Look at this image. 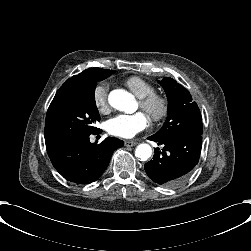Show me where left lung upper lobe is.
<instances>
[{
  "instance_id": "obj_1",
  "label": "left lung upper lobe",
  "mask_w": 251,
  "mask_h": 251,
  "mask_svg": "<svg viewBox=\"0 0 251 251\" xmlns=\"http://www.w3.org/2000/svg\"><path fill=\"white\" fill-rule=\"evenodd\" d=\"M168 98V116L163 127L156 133L159 139H166L187 133L202 134V117L189 91L172 78L159 81Z\"/></svg>"
}]
</instances>
